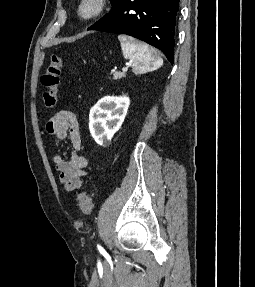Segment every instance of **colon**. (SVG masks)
Here are the masks:
<instances>
[{"label": "colon", "mask_w": 255, "mask_h": 287, "mask_svg": "<svg viewBox=\"0 0 255 287\" xmlns=\"http://www.w3.org/2000/svg\"><path fill=\"white\" fill-rule=\"evenodd\" d=\"M62 66V57L57 54L52 55L41 78V82L46 88L43 93V102L44 106L48 109L53 108L57 102ZM78 201L83 214L90 215L93 209L92 196L86 190H82L78 194Z\"/></svg>", "instance_id": "obj_1"}]
</instances>
